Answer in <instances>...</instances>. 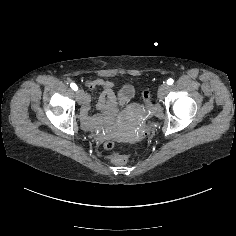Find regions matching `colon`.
<instances>
[{
	"label": "colon",
	"mask_w": 236,
	"mask_h": 236,
	"mask_svg": "<svg viewBox=\"0 0 236 236\" xmlns=\"http://www.w3.org/2000/svg\"><path fill=\"white\" fill-rule=\"evenodd\" d=\"M142 98L145 102V107L147 111H151L153 108V104L151 101V94L149 90H144L142 92ZM104 147L108 150L114 147V144L111 141H106L104 143ZM111 161L116 165H124L127 162V157L123 154H112Z\"/></svg>",
	"instance_id": "colon-1"
}]
</instances>
